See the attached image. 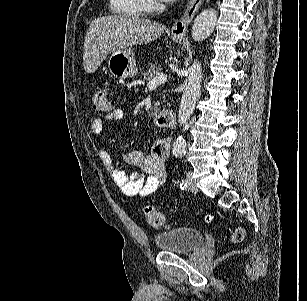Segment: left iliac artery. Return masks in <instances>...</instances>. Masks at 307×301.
<instances>
[{
	"label": "left iliac artery",
	"instance_id": "left-iliac-artery-1",
	"mask_svg": "<svg viewBox=\"0 0 307 301\" xmlns=\"http://www.w3.org/2000/svg\"><path fill=\"white\" fill-rule=\"evenodd\" d=\"M189 181L187 179H183L180 183V188L182 190L186 189L187 188V185H188Z\"/></svg>",
	"mask_w": 307,
	"mask_h": 301
}]
</instances>
